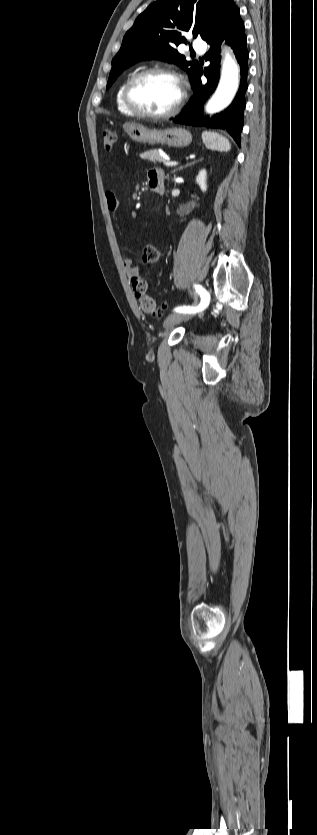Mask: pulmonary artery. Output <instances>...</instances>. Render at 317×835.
I'll use <instances>...</instances> for the list:
<instances>
[{"mask_svg":"<svg viewBox=\"0 0 317 835\" xmlns=\"http://www.w3.org/2000/svg\"><path fill=\"white\" fill-rule=\"evenodd\" d=\"M193 48H194V50H195L196 52H198V53H204V52L206 51V49H207V45H206V43H205L204 41H202V40H196V41L193 43Z\"/></svg>","mask_w":317,"mask_h":835,"instance_id":"pulmonary-artery-1","label":"pulmonary artery"}]
</instances>
